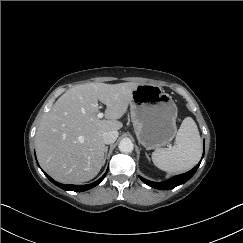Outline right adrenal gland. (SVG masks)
<instances>
[{"label":"right adrenal gland","mask_w":243,"mask_h":243,"mask_svg":"<svg viewBox=\"0 0 243 243\" xmlns=\"http://www.w3.org/2000/svg\"><path fill=\"white\" fill-rule=\"evenodd\" d=\"M107 151H108V146H106V147H105V150H104V160H106Z\"/></svg>","instance_id":"2a0ac1e0"}]
</instances>
